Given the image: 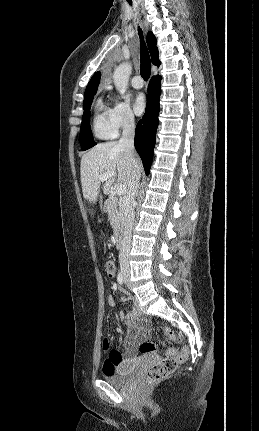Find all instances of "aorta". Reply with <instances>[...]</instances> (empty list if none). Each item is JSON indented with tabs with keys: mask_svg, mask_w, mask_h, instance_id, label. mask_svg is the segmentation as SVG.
Masks as SVG:
<instances>
[{
	"mask_svg": "<svg viewBox=\"0 0 259 431\" xmlns=\"http://www.w3.org/2000/svg\"><path fill=\"white\" fill-rule=\"evenodd\" d=\"M132 66L130 63L120 64L114 71L113 81L116 89L120 94H124L127 91L128 80L131 74Z\"/></svg>",
	"mask_w": 259,
	"mask_h": 431,
	"instance_id": "aorta-1",
	"label": "aorta"
}]
</instances>
